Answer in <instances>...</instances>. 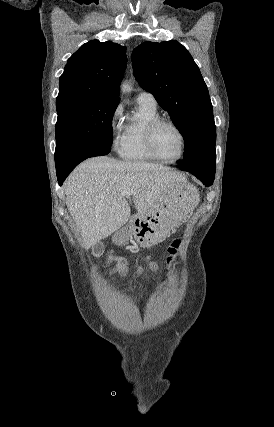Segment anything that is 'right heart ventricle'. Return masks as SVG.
Instances as JSON below:
<instances>
[{
	"mask_svg": "<svg viewBox=\"0 0 274 427\" xmlns=\"http://www.w3.org/2000/svg\"><path fill=\"white\" fill-rule=\"evenodd\" d=\"M159 118L157 109L139 106L136 117L124 127L118 145V154L125 161L150 163L157 160L148 152L145 144V131L154 119Z\"/></svg>",
	"mask_w": 274,
	"mask_h": 427,
	"instance_id": "1",
	"label": "right heart ventricle"
}]
</instances>
